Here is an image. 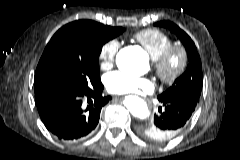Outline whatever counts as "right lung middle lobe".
Wrapping results in <instances>:
<instances>
[{"instance_id":"1","label":"right lung middle lobe","mask_w":240,"mask_h":160,"mask_svg":"<svg viewBox=\"0 0 240 160\" xmlns=\"http://www.w3.org/2000/svg\"><path fill=\"white\" fill-rule=\"evenodd\" d=\"M123 32L122 27L90 20L75 21L60 28L38 63L35 94L52 87L82 92L97 86L100 82L97 59L102 46Z\"/></svg>"}]
</instances>
